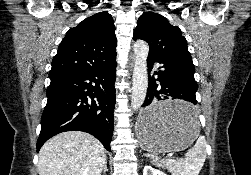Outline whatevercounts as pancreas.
I'll list each match as a JSON object with an SVG mask.
<instances>
[{
	"mask_svg": "<svg viewBox=\"0 0 251 175\" xmlns=\"http://www.w3.org/2000/svg\"><path fill=\"white\" fill-rule=\"evenodd\" d=\"M162 163H164V161H162ZM162 163H156V165H162Z\"/></svg>",
	"mask_w": 251,
	"mask_h": 175,
	"instance_id": "obj_1",
	"label": "pancreas"
}]
</instances>
